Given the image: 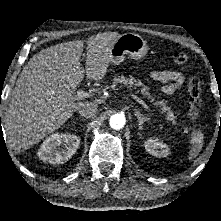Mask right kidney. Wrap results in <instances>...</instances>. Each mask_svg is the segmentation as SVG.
Returning a JSON list of instances; mask_svg holds the SVG:
<instances>
[{"instance_id":"1","label":"right kidney","mask_w":221,"mask_h":221,"mask_svg":"<svg viewBox=\"0 0 221 221\" xmlns=\"http://www.w3.org/2000/svg\"><path fill=\"white\" fill-rule=\"evenodd\" d=\"M80 138L73 134L54 133L42 143L38 156L44 162L60 164L68 161L76 152Z\"/></svg>"}]
</instances>
